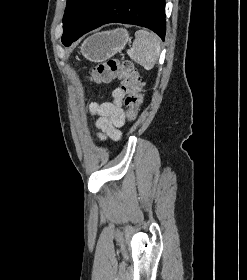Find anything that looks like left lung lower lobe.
<instances>
[{"label": "left lung lower lobe", "instance_id": "1", "mask_svg": "<svg viewBox=\"0 0 247 280\" xmlns=\"http://www.w3.org/2000/svg\"><path fill=\"white\" fill-rule=\"evenodd\" d=\"M112 22L149 28L164 40L165 0H101L75 33L62 38V43L70 46L87 32Z\"/></svg>", "mask_w": 247, "mask_h": 280}]
</instances>
